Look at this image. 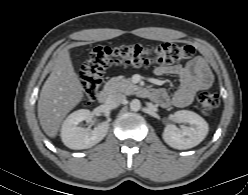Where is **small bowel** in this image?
<instances>
[{
  "instance_id": "obj_1",
  "label": "small bowel",
  "mask_w": 248,
  "mask_h": 195,
  "mask_svg": "<svg viewBox=\"0 0 248 195\" xmlns=\"http://www.w3.org/2000/svg\"><path fill=\"white\" fill-rule=\"evenodd\" d=\"M155 74L157 76L176 75L179 78V86L171 95L164 89L152 91V99L163 107H186L192 103L198 92L208 89L213 82L212 73L199 57L185 65L158 66Z\"/></svg>"
}]
</instances>
